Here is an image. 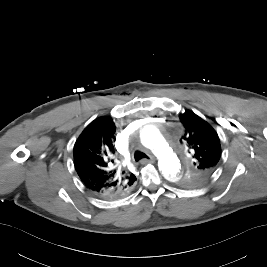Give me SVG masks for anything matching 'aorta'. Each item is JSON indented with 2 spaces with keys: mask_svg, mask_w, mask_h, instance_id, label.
I'll return each instance as SVG.
<instances>
[{
  "mask_svg": "<svg viewBox=\"0 0 267 267\" xmlns=\"http://www.w3.org/2000/svg\"><path fill=\"white\" fill-rule=\"evenodd\" d=\"M142 144L158 158V166L164 177L171 182L181 178L180 160L165 141L160 131L152 125L145 126L140 134Z\"/></svg>",
  "mask_w": 267,
  "mask_h": 267,
  "instance_id": "obj_1",
  "label": "aorta"
}]
</instances>
